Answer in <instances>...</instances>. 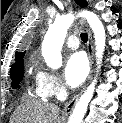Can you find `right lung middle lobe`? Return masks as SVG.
<instances>
[{"label": "right lung middle lobe", "mask_w": 122, "mask_h": 123, "mask_svg": "<svg viewBox=\"0 0 122 123\" xmlns=\"http://www.w3.org/2000/svg\"><path fill=\"white\" fill-rule=\"evenodd\" d=\"M24 75V65L23 63L20 64L19 66H16L12 69H10V77L12 80L11 86L13 88H19V83L22 80V77Z\"/></svg>", "instance_id": "1"}]
</instances>
